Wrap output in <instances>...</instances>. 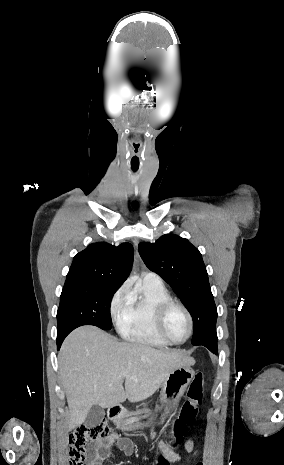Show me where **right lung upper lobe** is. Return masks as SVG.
I'll return each instance as SVG.
<instances>
[{"label": "right lung upper lobe", "instance_id": "cb5924a9", "mask_svg": "<svg viewBox=\"0 0 284 465\" xmlns=\"http://www.w3.org/2000/svg\"><path fill=\"white\" fill-rule=\"evenodd\" d=\"M133 263V246H113L105 242L89 245L74 258L66 280L80 279L119 288L127 279Z\"/></svg>", "mask_w": 284, "mask_h": 465}]
</instances>
